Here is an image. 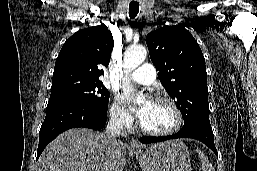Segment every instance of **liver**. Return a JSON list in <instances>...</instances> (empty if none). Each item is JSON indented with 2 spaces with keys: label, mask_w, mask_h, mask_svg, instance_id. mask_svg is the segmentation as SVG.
Here are the masks:
<instances>
[{
  "label": "liver",
  "mask_w": 257,
  "mask_h": 171,
  "mask_svg": "<svg viewBox=\"0 0 257 171\" xmlns=\"http://www.w3.org/2000/svg\"><path fill=\"white\" fill-rule=\"evenodd\" d=\"M126 148L119 140L87 128L60 134L43 151L38 171H123Z\"/></svg>",
  "instance_id": "6515ba94"
}]
</instances>
